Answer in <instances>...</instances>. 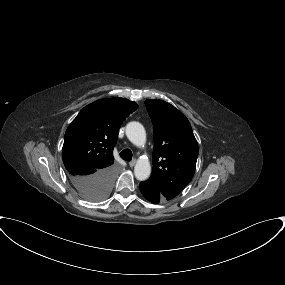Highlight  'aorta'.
<instances>
[{
  "label": "aorta",
  "mask_w": 285,
  "mask_h": 285,
  "mask_svg": "<svg viewBox=\"0 0 285 285\" xmlns=\"http://www.w3.org/2000/svg\"><path fill=\"white\" fill-rule=\"evenodd\" d=\"M126 136L129 141L138 147H143L146 143V132L143 125L139 122H129L126 126ZM135 177L144 181L151 174V165L147 159L140 158L134 167Z\"/></svg>",
  "instance_id": "aorta-1"
}]
</instances>
